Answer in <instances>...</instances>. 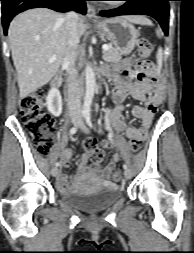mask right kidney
Segmentation results:
<instances>
[{
    "label": "right kidney",
    "instance_id": "obj_1",
    "mask_svg": "<svg viewBox=\"0 0 194 253\" xmlns=\"http://www.w3.org/2000/svg\"><path fill=\"white\" fill-rule=\"evenodd\" d=\"M46 104L48 111L55 117H58L62 113V98L60 92L51 89L48 93Z\"/></svg>",
    "mask_w": 194,
    "mask_h": 253
}]
</instances>
